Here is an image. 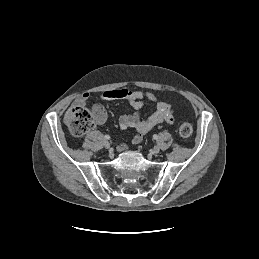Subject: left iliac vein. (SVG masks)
Returning <instances> with one entry per match:
<instances>
[{
    "instance_id": "left-iliac-vein-1",
    "label": "left iliac vein",
    "mask_w": 259,
    "mask_h": 259,
    "mask_svg": "<svg viewBox=\"0 0 259 259\" xmlns=\"http://www.w3.org/2000/svg\"><path fill=\"white\" fill-rule=\"evenodd\" d=\"M159 151H160V148H159V146H154V148H153V150H152V152L154 153V154H157V153H159Z\"/></svg>"
}]
</instances>
